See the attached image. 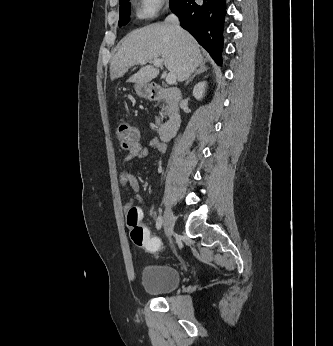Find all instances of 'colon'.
Here are the masks:
<instances>
[{
	"label": "colon",
	"mask_w": 333,
	"mask_h": 346,
	"mask_svg": "<svg viewBox=\"0 0 333 346\" xmlns=\"http://www.w3.org/2000/svg\"><path fill=\"white\" fill-rule=\"evenodd\" d=\"M116 134L120 146L125 150H132L138 143V132L129 123H121ZM140 220L141 210L131 206L127 212L126 222L130 228L132 242L139 247H143L145 254H159L163 244L159 240V235H151V226H143Z\"/></svg>",
	"instance_id": "colon-1"
}]
</instances>
